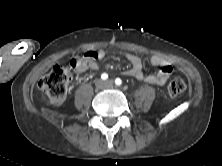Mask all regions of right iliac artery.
I'll return each mask as SVG.
<instances>
[{
    "instance_id": "obj_1",
    "label": "right iliac artery",
    "mask_w": 222,
    "mask_h": 166,
    "mask_svg": "<svg viewBox=\"0 0 222 166\" xmlns=\"http://www.w3.org/2000/svg\"><path fill=\"white\" fill-rule=\"evenodd\" d=\"M102 80H106L108 78V75L106 73H103L101 75Z\"/></svg>"
}]
</instances>
